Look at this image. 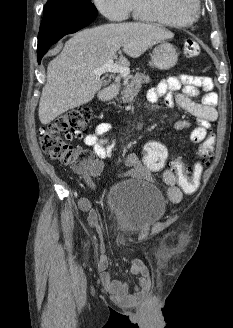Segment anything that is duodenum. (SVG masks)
<instances>
[{
    "label": "duodenum",
    "mask_w": 233,
    "mask_h": 328,
    "mask_svg": "<svg viewBox=\"0 0 233 328\" xmlns=\"http://www.w3.org/2000/svg\"><path fill=\"white\" fill-rule=\"evenodd\" d=\"M117 90H118L117 84L113 83L109 85L99 93L100 100L101 101L111 100L116 95Z\"/></svg>",
    "instance_id": "410a0bca"
}]
</instances>
